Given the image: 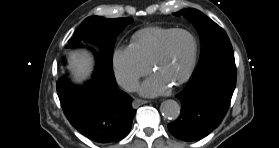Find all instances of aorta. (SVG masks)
Returning a JSON list of instances; mask_svg holds the SVG:
<instances>
[{"label":"aorta","instance_id":"aorta-1","mask_svg":"<svg viewBox=\"0 0 279 148\" xmlns=\"http://www.w3.org/2000/svg\"><path fill=\"white\" fill-rule=\"evenodd\" d=\"M160 110L162 115L169 120H175L180 115V105L175 100L163 101Z\"/></svg>","mask_w":279,"mask_h":148}]
</instances>
